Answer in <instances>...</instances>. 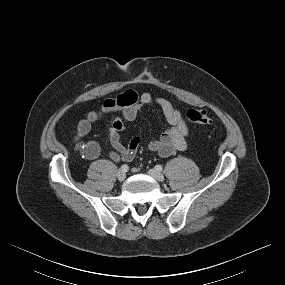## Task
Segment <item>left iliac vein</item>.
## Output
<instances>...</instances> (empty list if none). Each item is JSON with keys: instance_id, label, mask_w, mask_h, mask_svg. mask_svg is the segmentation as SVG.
<instances>
[{"instance_id": "1", "label": "left iliac vein", "mask_w": 285, "mask_h": 285, "mask_svg": "<svg viewBox=\"0 0 285 285\" xmlns=\"http://www.w3.org/2000/svg\"><path fill=\"white\" fill-rule=\"evenodd\" d=\"M148 174L154 179H156L157 181H161V182L164 181V175L155 169H150L148 171Z\"/></svg>"}]
</instances>
